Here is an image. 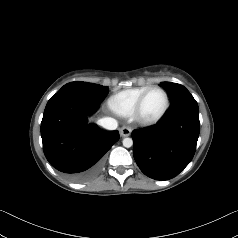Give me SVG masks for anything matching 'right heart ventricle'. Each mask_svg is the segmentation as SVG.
Wrapping results in <instances>:
<instances>
[{"instance_id":"right-heart-ventricle-1","label":"right heart ventricle","mask_w":238,"mask_h":238,"mask_svg":"<svg viewBox=\"0 0 238 238\" xmlns=\"http://www.w3.org/2000/svg\"><path fill=\"white\" fill-rule=\"evenodd\" d=\"M149 87V85H144L117 92L109 100L110 108L121 116H130L139 97Z\"/></svg>"}]
</instances>
